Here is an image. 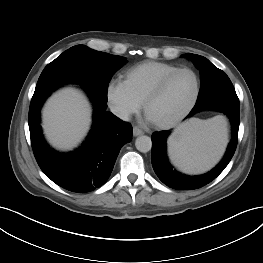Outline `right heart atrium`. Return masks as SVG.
I'll return each instance as SVG.
<instances>
[{
    "label": "right heart atrium",
    "mask_w": 263,
    "mask_h": 263,
    "mask_svg": "<svg viewBox=\"0 0 263 263\" xmlns=\"http://www.w3.org/2000/svg\"><path fill=\"white\" fill-rule=\"evenodd\" d=\"M105 97L111 111L122 120L129 119L141 108V103L120 79H113L107 84Z\"/></svg>",
    "instance_id": "obj_1"
}]
</instances>
